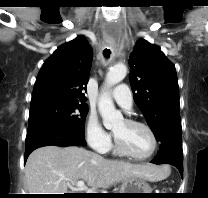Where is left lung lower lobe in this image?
<instances>
[{
  "label": "left lung lower lobe",
  "mask_w": 208,
  "mask_h": 198,
  "mask_svg": "<svg viewBox=\"0 0 208 198\" xmlns=\"http://www.w3.org/2000/svg\"><path fill=\"white\" fill-rule=\"evenodd\" d=\"M154 164L167 163L178 168L183 177L182 153L172 147H162L158 156L152 161Z\"/></svg>",
  "instance_id": "left-lung-lower-lobe-1"
}]
</instances>
